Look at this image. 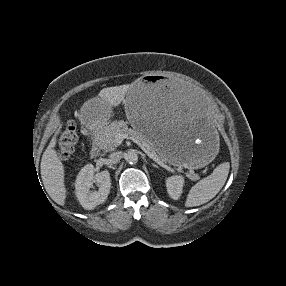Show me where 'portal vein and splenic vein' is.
<instances>
[{
  "mask_svg": "<svg viewBox=\"0 0 286 286\" xmlns=\"http://www.w3.org/2000/svg\"><path fill=\"white\" fill-rule=\"evenodd\" d=\"M124 139H130L133 142H135L137 145H139L141 147V149L153 160L155 161L157 164H159L161 167L168 169V166L165 165L155 154H153L150 150H148L144 144H142L141 142H139L138 140H136L133 137H130L127 134H118L117 135V140L121 143Z\"/></svg>",
  "mask_w": 286,
  "mask_h": 286,
  "instance_id": "obj_1",
  "label": "portal vein and splenic vein"
}]
</instances>
